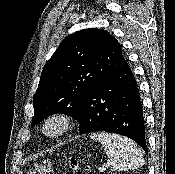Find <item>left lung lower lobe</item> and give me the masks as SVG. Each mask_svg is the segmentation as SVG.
Masks as SVG:
<instances>
[{"instance_id": "left-lung-lower-lobe-1", "label": "left lung lower lobe", "mask_w": 175, "mask_h": 174, "mask_svg": "<svg viewBox=\"0 0 175 174\" xmlns=\"http://www.w3.org/2000/svg\"><path fill=\"white\" fill-rule=\"evenodd\" d=\"M79 133L106 131L127 136L147 153L137 81L122 56L113 70L83 97Z\"/></svg>"}]
</instances>
